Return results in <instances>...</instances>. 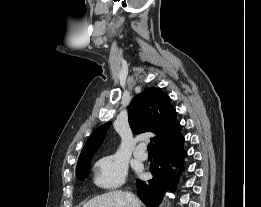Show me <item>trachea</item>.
<instances>
[{
    "instance_id": "trachea-1",
    "label": "trachea",
    "mask_w": 261,
    "mask_h": 207,
    "mask_svg": "<svg viewBox=\"0 0 261 207\" xmlns=\"http://www.w3.org/2000/svg\"><path fill=\"white\" fill-rule=\"evenodd\" d=\"M148 152L152 153L153 152V143L150 142L147 146Z\"/></svg>"
}]
</instances>
